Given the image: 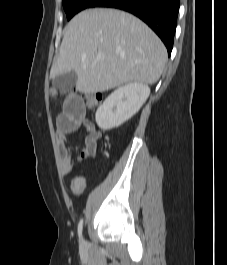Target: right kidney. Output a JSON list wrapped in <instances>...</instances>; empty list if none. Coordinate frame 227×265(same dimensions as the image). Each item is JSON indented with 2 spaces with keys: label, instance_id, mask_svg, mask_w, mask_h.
Instances as JSON below:
<instances>
[{
  "label": "right kidney",
  "instance_id": "right-kidney-1",
  "mask_svg": "<svg viewBox=\"0 0 227 265\" xmlns=\"http://www.w3.org/2000/svg\"><path fill=\"white\" fill-rule=\"evenodd\" d=\"M150 94L143 83H130L116 89L96 111V123L103 130L119 127L135 115Z\"/></svg>",
  "mask_w": 227,
  "mask_h": 265
}]
</instances>
